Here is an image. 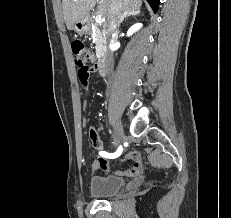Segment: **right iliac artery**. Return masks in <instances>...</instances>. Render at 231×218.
Wrapping results in <instances>:
<instances>
[{"label": "right iliac artery", "mask_w": 231, "mask_h": 218, "mask_svg": "<svg viewBox=\"0 0 231 218\" xmlns=\"http://www.w3.org/2000/svg\"><path fill=\"white\" fill-rule=\"evenodd\" d=\"M122 153V147L120 146L115 153H108L105 151H101L100 154L106 158L114 159L121 155Z\"/></svg>", "instance_id": "1"}]
</instances>
